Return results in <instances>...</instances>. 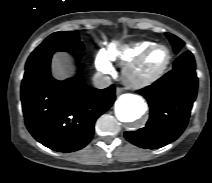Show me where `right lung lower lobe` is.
<instances>
[{
	"label": "right lung lower lobe",
	"mask_w": 212,
	"mask_h": 183,
	"mask_svg": "<svg viewBox=\"0 0 212 183\" xmlns=\"http://www.w3.org/2000/svg\"><path fill=\"white\" fill-rule=\"evenodd\" d=\"M53 53L31 54L26 62L23 114L37 141L54 151L73 152L92 139L96 119L115 101V86L96 89L72 78L55 80L50 74Z\"/></svg>",
	"instance_id": "98d812e1"
}]
</instances>
